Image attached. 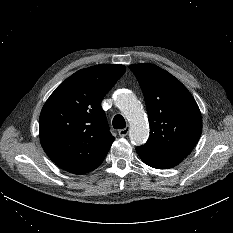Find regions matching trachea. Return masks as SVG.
Wrapping results in <instances>:
<instances>
[{
  "mask_svg": "<svg viewBox=\"0 0 233 233\" xmlns=\"http://www.w3.org/2000/svg\"><path fill=\"white\" fill-rule=\"evenodd\" d=\"M112 124L114 129H123L126 126L125 119L120 114L115 115Z\"/></svg>",
  "mask_w": 233,
  "mask_h": 233,
  "instance_id": "obj_1",
  "label": "trachea"
}]
</instances>
